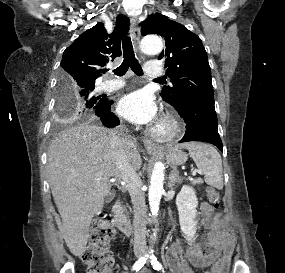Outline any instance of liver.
<instances>
[{
  "label": "liver",
  "instance_id": "1",
  "mask_svg": "<svg viewBox=\"0 0 285 273\" xmlns=\"http://www.w3.org/2000/svg\"><path fill=\"white\" fill-rule=\"evenodd\" d=\"M114 136L104 127L85 123L67 128L49 147L48 179L63 221L61 232L74 256L85 252L91 220L103 209L111 178H121L113 156ZM123 144L129 163L139 170L142 160L136 144L128 139Z\"/></svg>",
  "mask_w": 285,
  "mask_h": 273
}]
</instances>
